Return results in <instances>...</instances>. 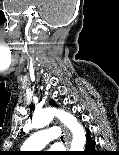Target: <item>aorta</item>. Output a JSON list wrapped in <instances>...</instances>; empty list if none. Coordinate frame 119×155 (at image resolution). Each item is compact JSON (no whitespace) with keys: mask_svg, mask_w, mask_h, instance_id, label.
Returning a JSON list of instances; mask_svg holds the SVG:
<instances>
[{"mask_svg":"<svg viewBox=\"0 0 119 155\" xmlns=\"http://www.w3.org/2000/svg\"><path fill=\"white\" fill-rule=\"evenodd\" d=\"M57 117L72 132L71 151H83L86 143V134L82 125L70 113L56 108H45L34 114L32 128L39 129L48 125Z\"/></svg>","mask_w":119,"mask_h":155,"instance_id":"obj_1","label":"aorta"}]
</instances>
